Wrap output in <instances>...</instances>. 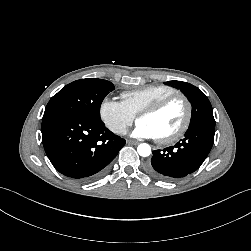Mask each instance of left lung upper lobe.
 <instances>
[{
  "label": "left lung upper lobe",
  "instance_id": "1",
  "mask_svg": "<svg viewBox=\"0 0 251 251\" xmlns=\"http://www.w3.org/2000/svg\"><path fill=\"white\" fill-rule=\"evenodd\" d=\"M182 89L192 104L190 126L200 122L215 123L212 106L206 95L197 87L183 81H169Z\"/></svg>",
  "mask_w": 251,
  "mask_h": 251
}]
</instances>
